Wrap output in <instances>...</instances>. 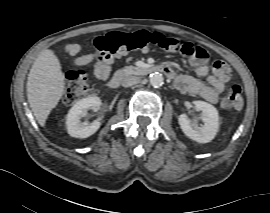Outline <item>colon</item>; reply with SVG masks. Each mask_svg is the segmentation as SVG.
Returning <instances> with one entry per match:
<instances>
[{
    "label": "colon",
    "instance_id": "5ec220e1",
    "mask_svg": "<svg viewBox=\"0 0 270 213\" xmlns=\"http://www.w3.org/2000/svg\"><path fill=\"white\" fill-rule=\"evenodd\" d=\"M159 45L166 50L179 48L183 54L197 59H206L207 52L191 43L180 44L177 39L168 38L160 32L138 31L132 34L114 32L95 39L91 46L96 49L95 61L111 63L115 57L125 51H147L149 45ZM214 71L221 78L229 77V68L225 63H214ZM93 84L82 70L72 72L66 77L63 102L73 105L82 98L94 92ZM243 104L242 88L237 83H231L221 101L224 110L240 109Z\"/></svg>",
    "mask_w": 270,
    "mask_h": 213
}]
</instances>
